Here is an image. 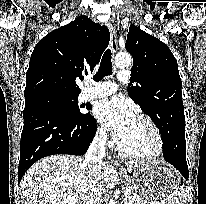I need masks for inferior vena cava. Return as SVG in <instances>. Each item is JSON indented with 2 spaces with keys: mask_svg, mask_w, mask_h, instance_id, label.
I'll list each match as a JSON object with an SVG mask.
<instances>
[{
  "mask_svg": "<svg viewBox=\"0 0 206 204\" xmlns=\"http://www.w3.org/2000/svg\"><path fill=\"white\" fill-rule=\"evenodd\" d=\"M106 139L107 135L103 131L95 135L85 155L84 163L88 164V174L92 188L84 204H101L102 193L96 187V177L101 173V166L105 157Z\"/></svg>",
  "mask_w": 206,
  "mask_h": 204,
  "instance_id": "inferior-vena-cava-1",
  "label": "inferior vena cava"
}]
</instances>
